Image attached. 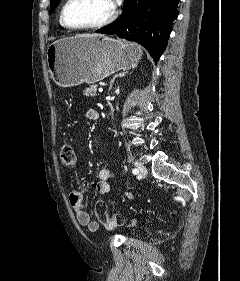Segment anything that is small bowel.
<instances>
[{
  "label": "small bowel",
  "mask_w": 240,
  "mask_h": 281,
  "mask_svg": "<svg viewBox=\"0 0 240 281\" xmlns=\"http://www.w3.org/2000/svg\"><path fill=\"white\" fill-rule=\"evenodd\" d=\"M88 120H97L99 117L95 109H89L85 113ZM114 178V173L109 168H102L98 173V181L96 183V190L101 195H106L111 191L110 181ZM118 191L129 199H133V195L119 188ZM69 203L75 214V217L80 225L86 226L89 232H96L98 230V223L92 221L89 213L85 210L83 202V194L79 190H74L69 194Z\"/></svg>",
  "instance_id": "1"
}]
</instances>
